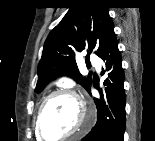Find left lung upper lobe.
<instances>
[{"label": "left lung upper lobe", "instance_id": "left-lung-upper-lobe-1", "mask_svg": "<svg viewBox=\"0 0 155 141\" xmlns=\"http://www.w3.org/2000/svg\"><path fill=\"white\" fill-rule=\"evenodd\" d=\"M113 35L114 25L104 0H73L64 18L45 41L35 91L40 92L51 80L64 74L88 91L92 78L78 77L75 54L88 48L90 53L95 49L99 56Z\"/></svg>", "mask_w": 155, "mask_h": 141}]
</instances>
